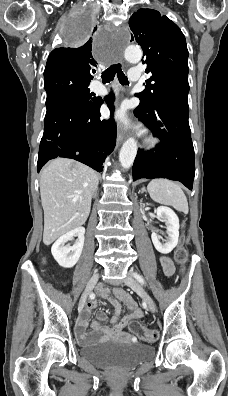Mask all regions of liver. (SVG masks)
<instances>
[{
	"label": "liver",
	"instance_id": "obj_1",
	"mask_svg": "<svg viewBox=\"0 0 228 396\" xmlns=\"http://www.w3.org/2000/svg\"><path fill=\"white\" fill-rule=\"evenodd\" d=\"M97 188L98 175L90 167L68 158L48 163L40 178L45 245L85 224Z\"/></svg>",
	"mask_w": 228,
	"mask_h": 396
}]
</instances>
